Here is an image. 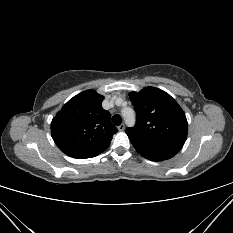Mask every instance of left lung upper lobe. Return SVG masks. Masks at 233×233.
<instances>
[{"label": "left lung upper lobe", "mask_w": 233, "mask_h": 233, "mask_svg": "<svg viewBox=\"0 0 233 233\" xmlns=\"http://www.w3.org/2000/svg\"><path fill=\"white\" fill-rule=\"evenodd\" d=\"M136 125L127 128L131 143L142 156L167 160L175 156L187 138V119L178 103L166 92L146 87L131 92Z\"/></svg>", "instance_id": "left-lung-upper-lobe-1"}]
</instances>
